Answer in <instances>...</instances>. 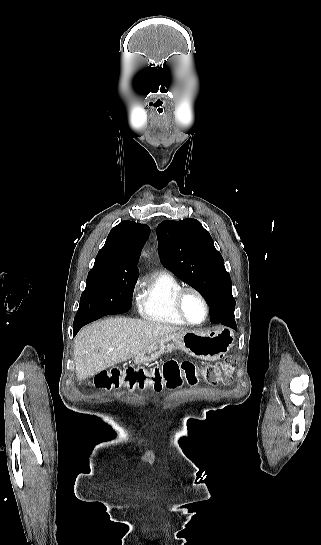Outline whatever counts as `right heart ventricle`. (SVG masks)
<instances>
[{
  "mask_svg": "<svg viewBox=\"0 0 321 545\" xmlns=\"http://www.w3.org/2000/svg\"><path fill=\"white\" fill-rule=\"evenodd\" d=\"M182 287L180 281L167 272H156L139 301L140 316L151 323L182 327L172 311V297Z\"/></svg>",
  "mask_w": 321,
  "mask_h": 545,
  "instance_id": "e07e8e85",
  "label": "right heart ventricle"
}]
</instances>
